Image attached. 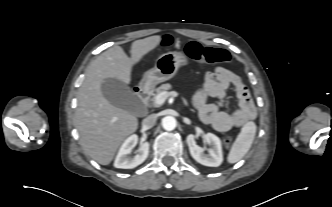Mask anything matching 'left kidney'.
I'll list each match as a JSON object with an SVG mask.
<instances>
[{
	"label": "left kidney",
	"instance_id": "obj_1",
	"mask_svg": "<svg viewBox=\"0 0 332 207\" xmlns=\"http://www.w3.org/2000/svg\"><path fill=\"white\" fill-rule=\"evenodd\" d=\"M186 141L191 156L198 163L209 167H217L222 163L223 154H222L221 141L216 135L212 133H207L205 135V141L208 144L212 145V147L208 150V154H205L203 148H201L196 144L195 135L193 134L188 135Z\"/></svg>",
	"mask_w": 332,
	"mask_h": 207
}]
</instances>
